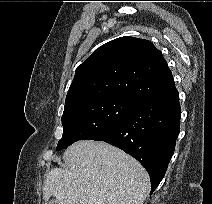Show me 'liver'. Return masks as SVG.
I'll list each match as a JSON object with an SVG mask.
<instances>
[{
	"instance_id": "obj_1",
	"label": "liver",
	"mask_w": 212,
	"mask_h": 204,
	"mask_svg": "<svg viewBox=\"0 0 212 204\" xmlns=\"http://www.w3.org/2000/svg\"><path fill=\"white\" fill-rule=\"evenodd\" d=\"M67 168H54L43 185L45 204H143L150 188L147 171L121 149L82 140L63 155Z\"/></svg>"
}]
</instances>
